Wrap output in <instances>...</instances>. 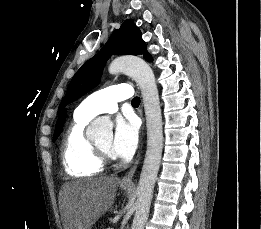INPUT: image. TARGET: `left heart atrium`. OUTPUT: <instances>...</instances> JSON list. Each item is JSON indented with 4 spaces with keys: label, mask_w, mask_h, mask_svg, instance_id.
I'll return each mask as SVG.
<instances>
[{
    "label": "left heart atrium",
    "mask_w": 261,
    "mask_h": 229,
    "mask_svg": "<svg viewBox=\"0 0 261 229\" xmlns=\"http://www.w3.org/2000/svg\"><path fill=\"white\" fill-rule=\"evenodd\" d=\"M139 140V127L135 120H120L116 124L110 151L113 156L129 159L135 152Z\"/></svg>",
    "instance_id": "39dd6f15"
}]
</instances>
